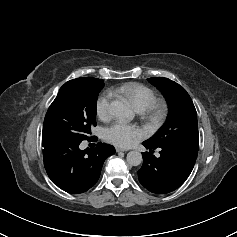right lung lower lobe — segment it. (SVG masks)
<instances>
[{"instance_id": "obj_1", "label": "right lung lower lobe", "mask_w": 237, "mask_h": 237, "mask_svg": "<svg viewBox=\"0 0 237 237\" xmlns=\"http://www.w3.org/2000/svg\"><path fill=\"white\" fill-rule=\"evenodd\" d=\"M81 142L57 133L42 134L47 174L58 187L72 194L83 193L95 185L105 159L115 153L114 147L104 143L80 150Z\"/></svg>"}]
</instances>
